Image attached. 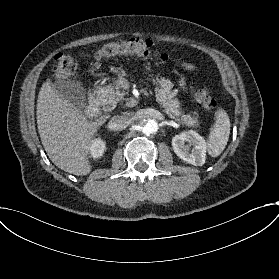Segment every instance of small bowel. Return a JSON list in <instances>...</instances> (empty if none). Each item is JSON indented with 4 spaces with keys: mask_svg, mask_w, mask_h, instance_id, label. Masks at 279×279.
<instances>
[{
    "mask_svg": "<svg viewBox=\"0 0 279 279\" xmlns=\"http://www.w3.org/2000/svg\"><path fill=\"white\" fill-rule=\"evenodd\" d=\"M183 67H184V69H186L188 71H195L196 70V67L192 64H189V63H184ZM180 84H181L182 87H186V79L182 78L181 81H180Z\"/></svg>",
    "mask_w": 279,
    "mask_h": 279,
    "instance_id": "c3829d8e",
    "label": "small bowel"
}]
</instances>
